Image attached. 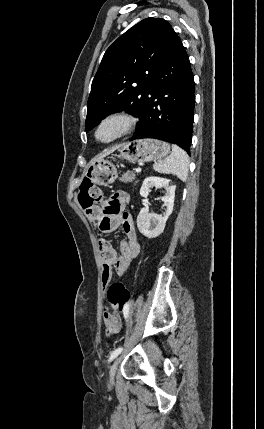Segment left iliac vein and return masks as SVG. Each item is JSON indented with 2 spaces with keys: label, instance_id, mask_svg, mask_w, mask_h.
Segmentation results:
<instances>
[{
  "label": "left iliac vein",
  "instance_id": "left-iliac-vein-1",
  "mask_svg": "<svg viewBox=\"0 0 264 429\" xmlns=\"http://www.w3.org/2000/svg\"><path fill=\"white\" fill-rule=\"evenodd\" d=\"M121 360H122V356L117 357V359L114 361L113 365L110 368V372H109L110 383L114 382L116 371H117V368H118Z\"/></svg>",
  "mask_w": 264,
  "mask_h": 429
}]
</instances>
